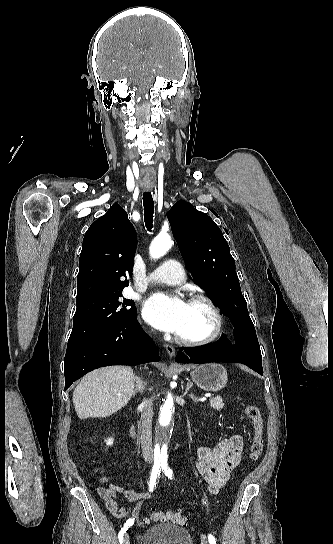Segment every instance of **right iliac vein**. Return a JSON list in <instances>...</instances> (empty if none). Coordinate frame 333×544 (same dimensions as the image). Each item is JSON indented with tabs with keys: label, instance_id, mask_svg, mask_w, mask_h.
Returning a JSON list of instances; mask_svg holds the SVG:
<instances>
[{
	"label": "right iliac vein",
	"instance_id": "63e3f726",
	"mask_svg": "<svg viewBox=\"0 0 333 544\" xmlns=\"http://www.w3.org/2000/svg\"><path fill=\"white\" fill-rule=\"evenodd\" d=\"M124 544H130V537L128 533L125 534Z\"/></svg>",
	"mask_w": 333,
	"mask_h": 544
}]
</instances>
